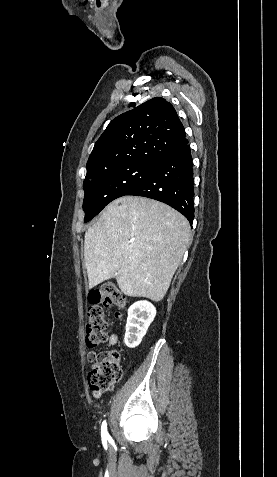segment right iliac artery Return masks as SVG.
Segmentation results:
<instances>
[{"mask_svg":"<svg viewBox=\"0 0 277 477\" xmlns=\"http://www.w3.org/2000/svg\"><path fill=\"white\" fill-rule=\"evenodd\" d=\"M101 434H102V438L103 439H106L109 437V434L107 432V424H106V421H104L102 423V426H101Z\"/></svg>","mask_w":277,"mask_h":477,"instance_id":"1","label":"right iliac artery"}]
</instances>
